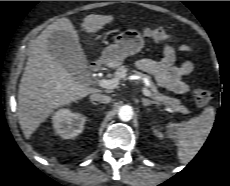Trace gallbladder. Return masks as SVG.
Instances as JSON below:
<instances>
[{"instance_id":"obj_1","label":"gallbladder","mask_w":230,"mask_h":186,"mask_svg":"<svg viewBox=\"0 0 230 186\" xmlns=\"http://www.w3.org/2000/svg\"><path fill=\"white\" fill-rule=\"evenodd\" d=\"M51 54L79 81L88 74L86 56L79 43L65 31H55L49 37Z\"/></svg>"}]
</instances>
